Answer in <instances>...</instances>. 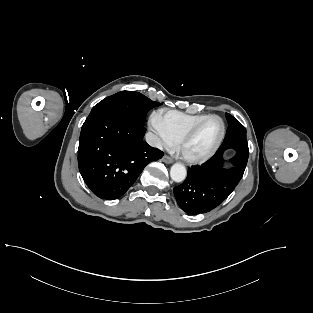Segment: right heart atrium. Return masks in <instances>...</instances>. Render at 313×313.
Wrapping results in <instances>:
<instances>
[{
    "instance_id": "d8ad5b80",
    "label": "right heart atrium",
    "mask_w": 313,
    "mask_h": 313,
    "mask_svg": "<svg viewBox=\"0 0 313 313\" xmlns=\"http://www.w3.org/2000/svg\"><path fill=\"white\" fill-rule=\"evenodd\" d=\"M150 129L154 133V145L158 148L165 149L174 145V142L167 136L164 130L161 128L157 114H153L150 119Z\"/></svg>"
}]
</instances>
